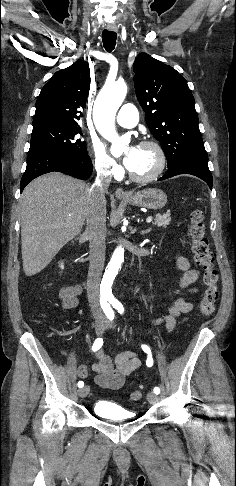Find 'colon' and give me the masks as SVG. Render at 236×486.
Wrapping results in <instances>:
<instances>
[{"label":"colon","mask_w":236,"mask_h":486,"mask_svg":"<svg viewBox=\"0 0 236 486\" xmlns=\"http://www.w3.org/2000/svg\"><path fill=\"white\" fill-rule=\"evenodd\" d=\"M188 234L192 242V252L196 263L204 271V284L206 289L200 302L199 310L203 317H209L215 310L219 292L217 287L218 274L214 265V254L210 241L206 235L202 211L195 209L189 214ZM143 397L141 390L131 393L132 400H140Z\"/></svg>","instance_id":"5ec220e1"}]
</instances>
